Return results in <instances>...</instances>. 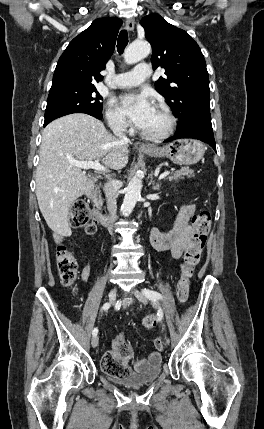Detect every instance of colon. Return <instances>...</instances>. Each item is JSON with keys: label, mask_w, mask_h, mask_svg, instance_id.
<instances>
[{"label": "colon", "mask_w": 264, "mask_h": 429, "mask_svg": "<svg viewBox=\"0 0 264 429\" xmlns=\"http://www.w3.org/2000/svg\"><path fill=\"white\" fill-rule=\"evenodd\" d=\"M69 221L74 228L88 227L91 222V212L82 200L76 201L71 208ZM211 216L208 211H201L192 219V226L195 230V238L185 251L181 263V275L177 282L176 294L180 302H185L188 297L190 280L195 267L198 265L206 242L207 233L210 228ZM57 268L61 283L65 287L76 289L75 280L77 274V262L74 254L65 246L59 245L56 253ZM158 324L155 315H146L142 319V326L151 329ZM155 347L162 350L164 342L161 338L155 339ZM131 357V350L127 346H121L116 354L106 353L102 359V369L113 376H125L129 373L126 361Z\"/></svg>", "instance_id": "obj_1"}]
</instances>
